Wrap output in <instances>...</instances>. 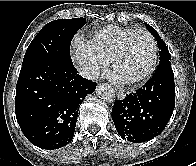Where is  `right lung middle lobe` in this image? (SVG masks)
Returning <instances> with one entry per match:
<instances>
[{"label": "right lung middle lobe", "instance_id": "dd1d6c3e", "mask_svg": "<svg viewBox=\"0 0 196 166\" xmlns=\"http://www.w3.org/2000/svg\"><path fill=\"white\" fill-rule=\"evenodd\" d=\"M85 24V18L59 19L46 24L27 48L22 65L37 59H55L73 64L71 40Z\"/></svg>", "mask_w": 196, "mask_h": 166}]
</instances>
